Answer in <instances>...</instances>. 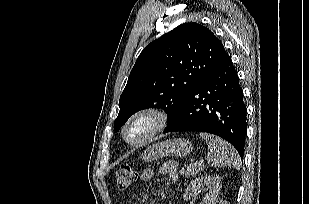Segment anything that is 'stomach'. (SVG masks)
<instances>
[{"label": "stomach", "instance_id": "1", "mask_svg": "<svg viewBox=\"0 0 309 204\" xmlns=\"http://www.w3.org/2000/svg\"><path fill=\"white\" fill-rule=\"evenodd\" d=\"M192 150L193 145L189 140L174 138L149 146L141 156L146 161H153L163 157H185Z\"/></svg>", "mask_w": 309, "mask_h": 204}]
</instances>
